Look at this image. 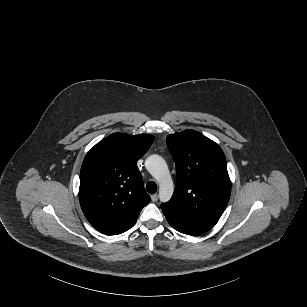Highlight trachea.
<instances>
[{
	"label": "trachea",
	"instance_id": "1",
	"mask_svg": "<svg viewBox=\"0 0 307 307\" xmlns=\"http://www.w3.org/2000/svg\"><path fill=\"white\" fill-rule=\"evenodd\" d=\"M146 190L150 193V194H154L157 191V184L154 181H149L146 184Z\"/></svg>",
	"mask_w": 307,
	"mask_h": 307
}]
</instances>
